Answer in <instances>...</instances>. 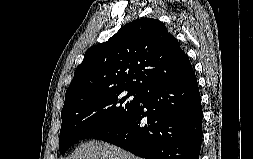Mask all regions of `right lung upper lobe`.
<instances>
[{"label": "right lung upper lobe", "mask_w": 253, "mask_h": 159, "mask_svg": "<svg viewBox=\"0 0 253 159\" xmlns=\"http://www.w3.org/2000/svg\"><path fill=\"white\" fill-rule=\"evenodd\" d=\"M193 71L177 39L159 20L124 25L107 42L90 47L67 88L64 104L108 91L149 90Z\"/></svg>", "instance_id": "right-lung-upper-lobe-1"}]
</instances>
